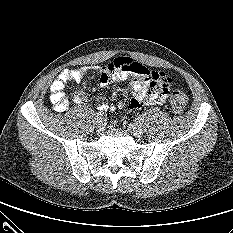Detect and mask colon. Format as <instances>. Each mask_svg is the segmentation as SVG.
Instances as JSON below:
<instances>
[{"label":"colon","mask_w":233,"mask_h":233,"mask_svg":"<svg viewBox=\"0 0 233 233\" xmlns=\"http://www.w3.org/2000/svg\"><path fill=\"white\" fill-rule=\"evenodd\" d=\"M136 73L141 77H148L150 71L146 67L139 66L135 69ZM187 105V98L184 93L179 90L174 91L170 97V107L174 113H181Z\"/></svg>","instance_id":"colon-1"}]
</instances>
